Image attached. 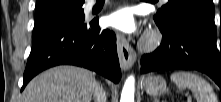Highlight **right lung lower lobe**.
Instances as JSON below:
<instances>
[{"instance_id": "obj_1", "label": "right lung lower lobe", "mask_w": 221, "mask_h": 102, "mask_svg": "<svg viewBox=\"0 0 221 102\" xmlns=\"http://www.w3.org/2000/svg\"><path fill=\"white\" fill-rule=\"evenodd\" d=\"M62 64L94 70L117 83L121 73L114 32L101 30L98 18L79 19L49 29L33 39L21 90L41 71Z\"/></svg>"}]
</instances>
